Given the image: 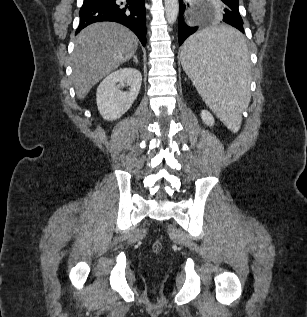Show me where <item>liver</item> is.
<instances>
[{
  "instance_id": "6515ba94",
  "label": "liver",
  "mask_w": 307,
  "mask_h": 317,
  "mask_svg": "<svg viewBox=\"0 0 307 317\" xmlns=\"http://www.w3.org/2000/svg\"><path fill=\"white\" fill-rule=\"evenodd\" d=\"M138 49V39L128 28L112 22L94 23L75 39L72 53V81L76 96L82 100L90 89Z\"/></svg>"
}]
</instances>
